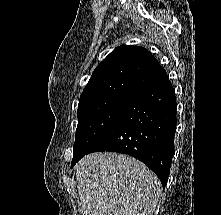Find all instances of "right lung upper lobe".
<instances>
[{"label": "right lung upper lobe", "mask_w": 221, "mask_h": 215, "mask_svg": "<svg viewBox=\"0 0 221 215\" xmlns=\"http://www.w3.org/2000/svg\"><path fill=\"white\" fill-rule=\"evenodd\" d=\"M167 77L166 71L145 48H115L94 70L79 104L107 97L134 98Z\"/></svg>", "instance_id": "right-lung-upper-lobe-1"}]
</instances>
